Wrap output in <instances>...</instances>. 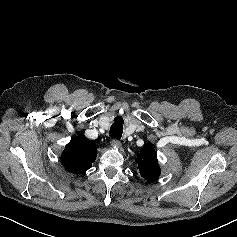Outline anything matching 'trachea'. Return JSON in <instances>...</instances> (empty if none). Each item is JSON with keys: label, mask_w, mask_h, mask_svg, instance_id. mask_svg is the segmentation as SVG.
Here are the masks:
<instances>
[{"label": "trachea", "mask_w": 237, "mask_h": 237, "mask_svg": "<svg viewBox=\"0 0 237 237\" xmlns=\"http://www.w3.org/2000/svg\"><path fill=\"white\" fill-rule=\"evenodd\" d=\"M123 119L121 117H116L114 123L110 127L109 136L120 140L123 133Z\"/></svg>", "instance_id": "1"}]
</instances>
